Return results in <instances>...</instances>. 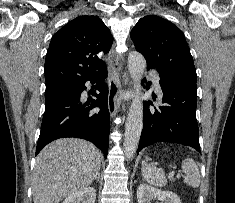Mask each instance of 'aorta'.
Segmentation results:
<instances>
[{
  "label": "aorta",
  "instance_id": "762f6f07",
  "mask_svg": "<svg viewBox=\"0 0 235 203\" xmlns=\"http://www.w3.org/2000/svg\"><path fill=\"white\" fill-rule=\"evenodd\" d=\"M146 67L145 58L138 52H131L128 56V71L134 82L136 96L129 108L124 134V155L130 160L133 158L143 128V103L140 98L141 79Z\"/></svg>",
  "mask_w": 235,
  "mask_h": 203
}]
</instances>
